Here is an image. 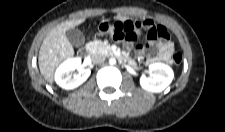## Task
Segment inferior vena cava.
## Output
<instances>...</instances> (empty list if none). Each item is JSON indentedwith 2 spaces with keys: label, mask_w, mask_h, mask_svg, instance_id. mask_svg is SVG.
<instances>
[{
  "label": "inferior vena cava",
  "mask_w": 225,
  "mask_h": 132,
  "mask_svg": "<svg viewBox=\"0 0 225 132\" xmlns=\"http://www.w3.org/2000/svg\"><path fill=\"white\" fill-rule=\"evenodd\" d=\"M92 60L95 64H101L105 61V57L100 54H96L92 57Z\"/></svg>",
  "instance_id": "1"
}]
</instances>
